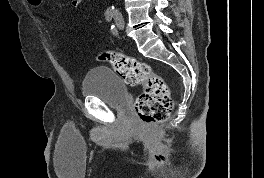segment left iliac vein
<instances>
[{
	"label": "left iliac vein",
	"mask_w": 264,
	"mask_h": 178,
	"mask_svg": "<svg viewBox=\"0 0 264 178\" xmlns=\"http://www.w3.org/2000/svg\"><path fill=\"white\" fill-rule=\"evenodd\" d=\"M115 23H116V26L119 29H123L124 28V19H123V17L121 15L116 16Z\"/></svg>",
	"instance_id": "left-iliac-vein-1"
}]
</instances>
